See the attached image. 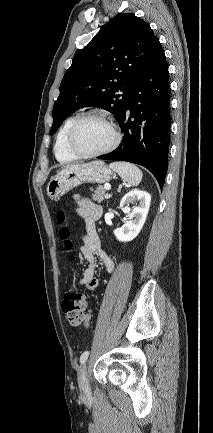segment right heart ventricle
Returning <instances> with one entry per match:
<instances>
[{
    "label": "right heart ventricle",
    "mask_w": 213,
    "mask_h": 433,
    "mask_svg": "<svg viewBox=\"0 0 213 433\" xmlns=\"http://www.w3.org/2000/svg\"><path fill=\"white\" fill-rule=\"evenodd\" d=\"M76 119H77L76 116L68 117L64 121L63 125L61 126L56 136V140L54 144V153L56 159L60 162L66 163L78 159V157L74 155L68 147V133Z\"/></svg>",
    "instance_id": "obj_1"
}]
</instances>
